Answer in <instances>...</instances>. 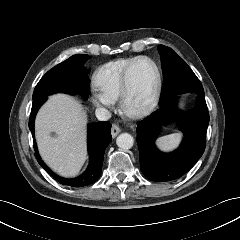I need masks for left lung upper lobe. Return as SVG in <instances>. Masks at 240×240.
Masks as SVG:
<instances>
[{"label": "left lung upper lobe", "instance_id": "1", "mask_svg": "<svg viewBox=\"0 0 240 240\" xmlns=\"http://www.w3.org/2000/svg\"><path fill=\"white\" fill-rule=\"evenodd\" d=\"M163 71V88L159 105L162 106L173 96L185 92L204 94L201 82L175 51L164 45L159 46Z\"/></svg>", "mask_w": 240, "mask_h": 240}]
</instances>
